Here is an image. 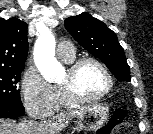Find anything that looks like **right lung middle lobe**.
I'll use <instances>...</instances> for the list:
<instances>
[{
	"label": "right lung middle lobe",
	"mask_w": 153,
	"mask_h": 134,
	"mask_svg": "<svg viewBox=\"0 0 153 134\" xmlns=\"http://www.w3.org/2000/svg\"><path fill=\"white\" fill-rule=\"evenodd\" d=\"M24 67L0 68V102L22 104L17 83L20 81Z\"/></svg>",
	"instance_id": "obj_1"
}]
</instances>
